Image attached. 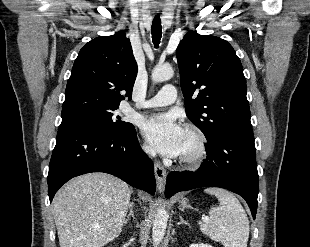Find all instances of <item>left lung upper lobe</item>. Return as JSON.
Returning a JSON list of instances; mask_svg holds the SVG:
<instances>
[{"mask_svg":"<svg viewBox=\"0 0 310 247\" xmlns=\"http://www.w3.org/2000/svg\"><path fill=\"white\" fill-rule=\"evenodd\" d=\"M176 56L186 115L208 144L231 132L251 130L242 64L226 40L190 31Z\"/></svg>","mask_w":310,"mask_h":247,"instance_id":"5c2ea615","label":"left lung upper lobe"}]
</instances>
